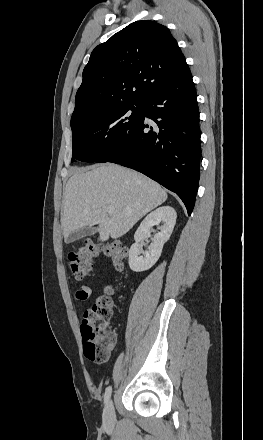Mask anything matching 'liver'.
I'll return each instance as SVG.
<instances>
[{
    "label": "liver",
    "mask_w": 263,
    "mask_h": 440,
    "mask_svg": "<svg viewBox=\"0 0 263 440\" xmlns=\"http://www.w3.org/2000/svg\"><path fill=\"white\" fill-rule=\"evenodd\" d=\"M63 196L64 238L80 228L98 225L101 241L122 237L168 197L155 181L114 164L76 169ZM109 206L114 207L111 213Z\"/></svg>",
    "instance_id": "obj_1"
}]
</instances>
